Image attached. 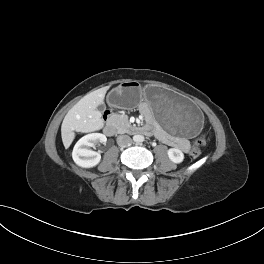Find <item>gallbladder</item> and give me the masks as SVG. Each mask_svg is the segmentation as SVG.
<instances>
[{
  "label": "gallbladder",
  "mask_w": 264,
  "mask_h": 264,
  "mask_svg": "<svg viewBox=\"0 0 264 264\" xmlns=\"http://www.w3.org/2000/svg\"><path fill=\"white\" fill-rule=\"evenodd\" d=\"M104 109H105V105L104 104H100L98 106V110L103 111Z\"/></svg>",
  "instance_id": "1"
}]
</instances>
